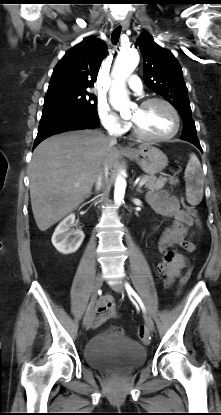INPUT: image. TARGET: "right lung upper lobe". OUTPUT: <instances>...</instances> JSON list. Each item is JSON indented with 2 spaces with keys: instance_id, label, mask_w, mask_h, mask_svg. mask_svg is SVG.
<instances>
[{
  "instance_id": "obj_1",
  "label": "right lung upper lobe",
  "mask_w": 221,
  "mask_h": 415,
  "mask_svg": "<svg viewBox=\"0 0 221 415\" xmlns=\"http://www.w3.org/2000/svg\"><path fill=\"white\" fill-rule=\"evenodd\" d=\"M105 54L104 43L95 37L85 38L56 65L47 93L92 87Z\"/></svg>"
}]
</instances>
